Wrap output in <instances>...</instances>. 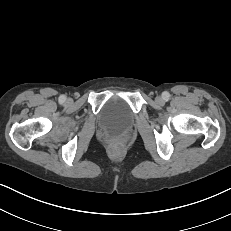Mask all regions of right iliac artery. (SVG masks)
<instances>
[{"label":"right iliac artery","instance_id":"1","mask_svg":"<svg viewBox=\"0 0 231 231\" xmlns=\"http://www.w3.org/2000/svg\"><path fill=\"white\" fill-rule=\"evenodd\" d=\"M65 100H66V97H65L64 95H61V96L59 97V102H60V103H64Z\"/></svg>","mask_w":231,"mask_h":231}]
</instances>
